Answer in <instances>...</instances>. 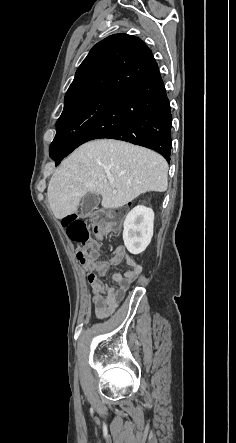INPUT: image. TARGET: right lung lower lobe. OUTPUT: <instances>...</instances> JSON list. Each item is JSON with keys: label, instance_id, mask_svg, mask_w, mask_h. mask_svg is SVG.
I'll return each mask as SVG.
<instances>
[{"label": "right lung lower lobe", "instance_id": "98d812e1", "mask_svg": "<svg viewBox=\"0 0 236 443\" xmlns=\"http://www.w3.org/2000/svg\"><path fill=\"white\" fill-rule=\"evenodd\" d=\"M171 126L170 103L155 63L83 123L67 149H50V157L59 164L75 148L89 140L112 138L150 148L169 162Z\"/></svg>", "mask_w": 236, "mask_h": 443}]
</instances>
